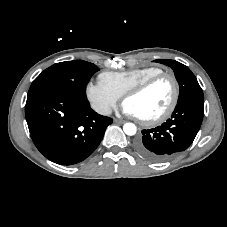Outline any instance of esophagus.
Wrapping results in <instances>:
<instances>
[{"mask_svg":"<svg viewBox=\"0 0 227 227\" xmlns=\"http://www.w3.org/2000/svg\"><path fill=\"white\" fill-rule=\"evenodd\" d=\"M114 122L117 123V124H124L125 121L124 120H120V119H114Z\"/></svg>","mask_w":227,"mask_h":227,"instance_id":"1","label":"esophagus"}]
</instances>
